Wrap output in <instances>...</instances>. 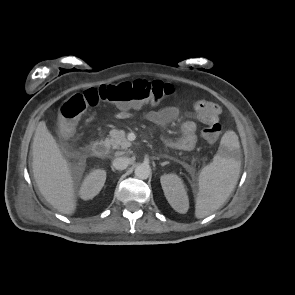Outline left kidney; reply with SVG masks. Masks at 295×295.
Listing matches in <instances>:
<instances>
[{
	"instance_id": "5707ae66",
	"label": "left kidney",
	"mask_w": 295,
	"mask_h": 295,
	"mask_svg": "<svg viewBox=\"0 0 295 295\" xmlns=\"http://www.w3.org/2000/svg\"><path fill=\"white\" fill-rule=\"evenodd\" d=\"M160 182L171 207L179 213H186L189 208V201L182 179L176 174H165L161 176Z\"/></svg>"
}]
</instances>
